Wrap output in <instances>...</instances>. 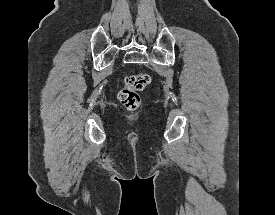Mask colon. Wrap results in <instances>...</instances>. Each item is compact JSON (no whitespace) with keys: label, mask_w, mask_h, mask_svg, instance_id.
Listing matches in <instances>:
<instances>
[{"label":"colon","mask_w":275,"mask_h":215,"mask_svg":"<svg viewBox=\"0 0 275 215\" xmlns=\"http://www.w3.org/2000/svg\"><path fill=\"white\" fill-rule=\"evenodd\" d=\"M150 82V75L143 72L127 77L118 93L123 106L129 111L136 110L141 104L139 92L149 86Z\"/></svg>","instance_id":"colon-1"}]
</instances>
